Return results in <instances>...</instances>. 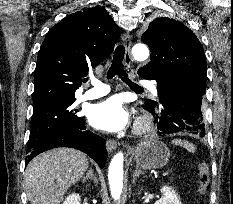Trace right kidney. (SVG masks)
<instances>
[{
	"label": "right kidney",
	"mask_w": 233,
	"mask_h": 204,
	"mask_svg": "<svg viewBox=\"0 0 233 204\" xmlns=\"http://www.w3.org/2000/svg\"><path fill=\"white\" fill-rule=\"evenodd\" d=\"M80 200L79 194L73 193L65 199L63 204H80Z\"/></svg>",
	"instance_id": "1"
}]
</instances>
